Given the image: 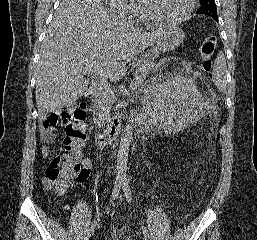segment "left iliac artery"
I'll return each instance as SVG.
<instances>
[{
  "instance_id": "44dca946",
  "label": "left iliac artery",
  "mask_w": 257,
  "mask_h": 240,
  "mask_svg": "<svg viewBox=\"0 0 257 240\" xmlns=\"http://www.w3.org/2000/svg\"><path fill=\"white\" fill-rule=\"evenodd\" d=\"M122 187H123L124 195H125L127 201L129 203H131L132 202V195H131V191H130V187H129L128 182L124 181ZM142 228H143V234H144L145 240H150V236H149L147 230L145 229V227H142Z\"/></svg>"
}]
</instances>
